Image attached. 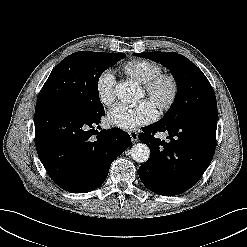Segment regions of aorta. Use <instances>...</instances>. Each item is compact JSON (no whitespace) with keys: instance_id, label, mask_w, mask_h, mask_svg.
<instances>
[{"instance_id":"762f6f07","label":"aorta","mask_w":247,"mask_h":247,"mask_svg":"<svg viewBox=\"0 0 247 247\" xmlns=\"http://www.w3.org/2000/svg\"><path fill=\"white\" fill-rule=\"evenodd\" d=\"M115 93L117 98L122 103H131L137 100L138 92L136 86L133 84H129L128 82H122L117 84L115 88ZM131 157L134 161L138 163H144L149 159L150 150L148 146L144 143H137L132 146Z\"/></svg>"}]
</instances>
